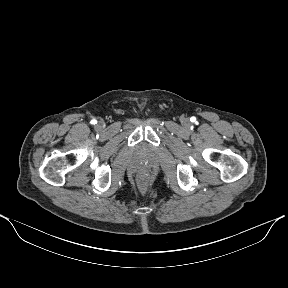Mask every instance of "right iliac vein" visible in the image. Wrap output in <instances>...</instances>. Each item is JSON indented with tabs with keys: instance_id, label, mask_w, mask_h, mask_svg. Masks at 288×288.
Wrapping results in <instances>:
<instances>
[{
	"instance_id": "1",
	"label": "right iliac vein",
	"mask_w": 288,
	"mask_h": 288,
	"mask_svg": "<svg viewBox=\"0 0 288 288\" xmlns=\"http://www.w3.org/2000/svg\"><path fill=\"white\" fill-rule=\"evenodd\" d=\"M96 126H97L98 129H102L104 127V122L99 121Z\"/></svg>"
}]
</instances>
